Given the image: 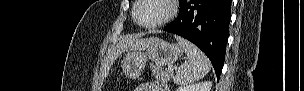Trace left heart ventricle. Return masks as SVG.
Returning a JSON list of instances; mask_svg holds the SVG:
<instances>
[{"label":"left heart ventricle","instance_id":"left-heart-ventricle-1","mask_svg":"<svg viewBox=\"0 0 304 91\" xmlns=\"http://www.w3.org/2000/svg\"><path fill=\"white\" fill-rule=\"evenodd\" d=\"M168 13V6L163 0H144L138 10V19L142 24H152Z\"/></svg>","mask_w":304,"mask_h":91}]
</instances>
